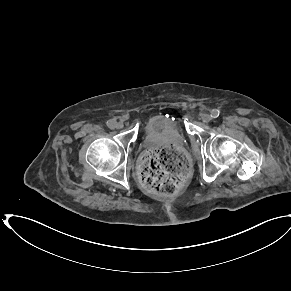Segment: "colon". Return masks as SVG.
Returning a JSON list of instances; mask_svg holds the SVG:
<instances>
[{
  "label": "colon",
  "mask_w": 291,
  "mask_h": 291,
  "mask_svg": "<svg viewBox=\"0 0 291 291\" xmlns=\"http://www.w3.org/2000/svg\"><path fill=\"white\" fill-rule=\"evenodd\" d=\"M188 170V159L175 148H154L141 159L140 181L149 192L170 196L181 188Z\"/></svg>",
  "instance_id": "colon-1"
}]
</instances>
